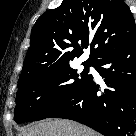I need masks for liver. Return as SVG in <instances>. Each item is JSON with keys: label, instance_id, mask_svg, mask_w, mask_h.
Segmentation results:
<instances>
[{"label": "liver", "instance_id": "liver-1", "mask_svg": "<svg viewBox=\"0 0 136 136\" xmlns=\"http://www.w3.org/2000/svg\"><path fill=\"white\" fill-rule=\"evenodd\" d=\"M19 136H99L88 127L65 120H46L32 124L24 129Z\"/></svg>", "mask_w": 136, "mask_h": 136}]
</instances>
